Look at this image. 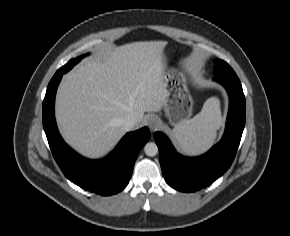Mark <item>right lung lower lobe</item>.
Masks as SVG:
<instances>
[{"label": "right lung lower lobe", "instance_id": "obj_1", "mask_svg": "<svg viewBox=\"0 0 290 236\" xmlns=\"http://www.w3.org/2000/svg\"><path fill=\"white\" fill-rule=\"evenodd\" d=\"M63 74L56 72L51 79L42 106L43 126L54 159L64 175L81 188L100 195L116 194L127 186L137 155L151 136L149 129L126 134L105 159L81 157L63 141L55 122V94Z\"/></svg>", "mask_w": 290, "mask_h": 236}]
</instances>
